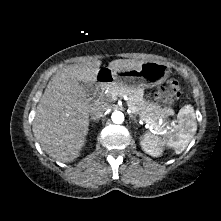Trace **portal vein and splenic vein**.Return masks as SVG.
I'll use <instances>...</instances> for the list:
<instances>
[{
	"label": "portal vein and splenic vein",
	"mask_w": 221,
	"mask_h": 221,
	"mask_svg": "<svg viewBox=\"0 0 221 221\" xmlns=\"http://www.w3.org/2000/svg\"><path fill=\"white\" fill-rule=\"evenodd\" d=\"M172 123H173V126H175V125H176V124H175V121H173ZM149 127H150V128H154V127H153V125H151V124H150V126H149Z\"/></svg>",
	"instance_id": "portal-vein-and-splenic-vein-1"
}]
</instances>
